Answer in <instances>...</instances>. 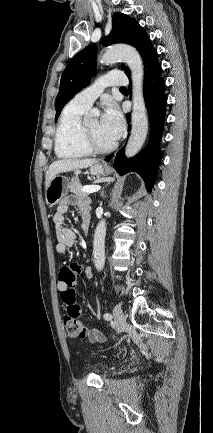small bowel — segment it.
Wrapping results in <instances>:
<instances>
[{"mask_svg": "<svg viewBox=\"0 0 213 433\" xmlns=\"http://www.w3.org/2000/svg\"><path fill=\"white\" fill-rule=\"evenodd\" d=\"M71 205H75L80 212L82 230H84L85 227H89L90 225V206L87 199L77 198L73 200L71 197H66L59 203L53 216V222L55 225L57 238L56 251L61 255L66 254L76 241V233L66 224V213L69 206ZM70 266L75 268L77 275H84L87 278H91L93 276L92 269L89 266H82L80 264H71ZM64 289L65 285L59 281L58 290L63 291ZM91 330H96L98 333V337L92 341L102 342L105 340L104 335L99 330Z\"/></svg>", "mask_w": 213, "mask_h": 433, "instance_id": "c3829d8e", "label": "small bowel"}]
</instances>
